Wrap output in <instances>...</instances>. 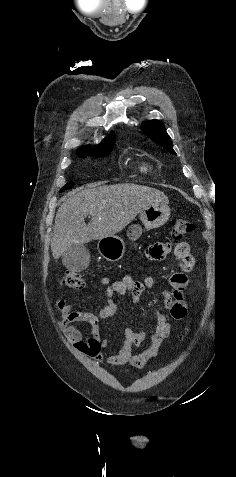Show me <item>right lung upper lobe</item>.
I'll use <instances>...</instances> for the list:
<instances>
[{
	"label": "right lung upper lobe",
	"instance_id": "cb5924a9",
	"mask_svg": "<svg viewBox=\"0 0 236 477\" xmlns=\"http://www.w3.org/2000/svg\"><path fill=\"white\" fill-rule=\"evenodd\" d=\"M114 143H115V135L113 132H111V134L107 138H105L99 145L95 146L93 150H91L89 146H86V147L80 148L78 150V153L81 156H85L90 154L91 151L95 153L105 149H112L114 146Z\"/></svg>",
	"mask_w": 236,
	"mask_h": 477
}]
</instances>
